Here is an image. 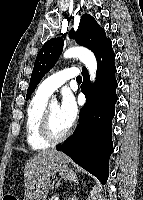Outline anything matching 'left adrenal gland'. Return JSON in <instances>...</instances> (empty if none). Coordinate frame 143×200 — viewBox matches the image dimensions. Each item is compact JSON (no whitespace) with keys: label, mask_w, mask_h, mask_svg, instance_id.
<instances>
[{"label":"left adrenal gland","mask_w":143,"mask_h":200,"mask_svg":"<svg viewBox=\"0 0 143 200\" xmlns=\"http://www.w3.org/2000/svg\"><path fill=\"white\" fill-rule=\"evenodd\" d=\"M71 200H76V195L73 196V198Z\"/></svg>","instance_id":"obj_1"}]
</instances>
